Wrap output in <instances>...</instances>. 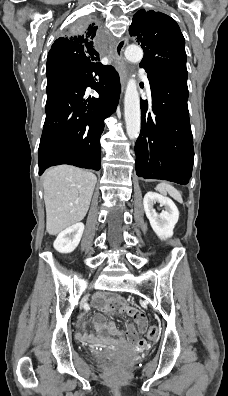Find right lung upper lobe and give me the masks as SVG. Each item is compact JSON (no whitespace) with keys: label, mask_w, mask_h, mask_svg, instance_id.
<instances>
[{"label":"right lung upper lobe","mask_w":228,"mask_h":396,"mask_svg":"<svg viewBox=\"0 0 228 396\" xmlns=\"http://www.w3.org/2000/svg\"><path fill=\"white\" fill-rule=\"evenodd\" d=\"M96 26L89 27L81 35L61 37L52 45L47 60L46 72L71 70L77 65L92 64L102 66L99 53L94 46Z\"/></svg>","instance_id":"right-lung-upper-lobe-1"}]
</instances>
